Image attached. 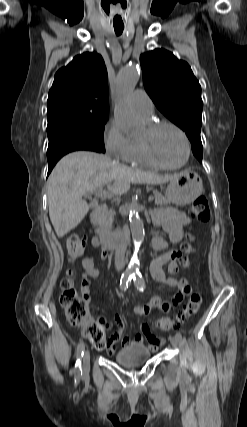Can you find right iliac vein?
I'll return each instance as SVG.
<instances>
[{
	"label": "right iliac vein",
	"instance_id": "right-iliac-vein-1",
	"mask_svg": "<svg viewBox=\"0 0 247 427\" xmlns=\"http://www.w3.org/2000/svg\"><path fill=\"white\" fill-rule=\"evenodd\" d=\"M90 369V353L89 350L84 352L83 356V372L86 373Z\"/></svg>",
	"mask_w": 247,
	"mask_h": 427
}]
</instances>
